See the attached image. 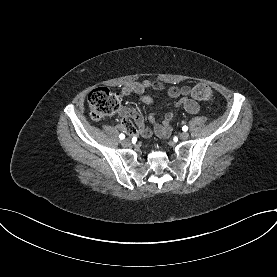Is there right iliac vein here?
<instances>
[{"label":"right iliac vein","instance_id":"obj_1","mask_svg":"<svg viewBox=\"0 0 277 277\" xmlns=\"http://www.w3.org/2000/svg\"><path fill=\"white\" fill-rule=\"evenodd\" d=\"M122 146L129 147L131 145V141L129 139H124L121 142Z\"/></svg>","mask_w":277,"mask_h":277}]
</instances>
